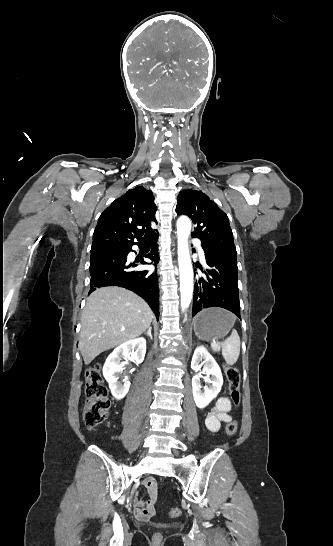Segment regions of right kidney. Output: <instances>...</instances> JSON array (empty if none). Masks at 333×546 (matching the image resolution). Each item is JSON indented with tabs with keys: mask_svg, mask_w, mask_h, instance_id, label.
Returning a JSON list of instances; mask_svg holds the SVG:
<instances>
[{
	"mask_svg": "<svg viewBox=\"0 0 333 546\" xmlns=\"http://www.w3.org/2000/svg\"><path fill=\"white\" fill-rule=\"evenodd\" d=\"M146 353V341L143 338L129 340L118 346L107 357L103 366V375L109 383L113 397L121 400L128 393L130 382L127 379L123 383L118 382V374L123 370L124 363L121 358L131 359L136 364L143 362Z\"/></svg>",
	"mask_w": 333,
	"mask_h": 546,
	"instance_id": "ca27d5eb",
	"label": "right kidney"
}]
</instances>
